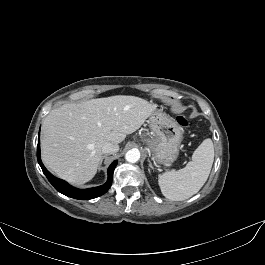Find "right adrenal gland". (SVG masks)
<instances>
[{
  "label": "right adrenal gland",
  "instance_id": "1",
  "mask_svg": "<svg viewBox=\"0 0 265 265\" xmlns=\"http://www.w3.org/2000/svg\"><path fill=\"white\" fill-rule=\"evenodd\" d=\"M106 156H102L101 160H100V163H99V167L102 165V162H103V159L105 158Z\"/></svg>",
  "mask_w": 265,
  "mask_h": 265
}]
</instances>
